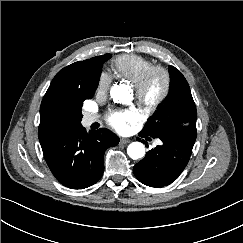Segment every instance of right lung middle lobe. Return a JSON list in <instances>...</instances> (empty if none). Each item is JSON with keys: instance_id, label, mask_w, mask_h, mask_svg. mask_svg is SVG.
Listing matches in <instances>:
<instances>
[{"instance_id": "dd1d6c3e", "label": "right lung middle lobe", "mask_w": 243, "mask_h": 243, "mask_svg": "<svg viewBox=\"0 0 243 243\" xmlns=\"http://www.w3.org/2000/svg\"><path fill=\"white\" fill-rule=\"evenodd\" d=\"M111 58L110 54H105L103 60L100 63V68H102V64L107 61L108 59ZM94 93L88 94V95H79L74 97L70 103H69V117L64 123L65 126H76L81 124L80 121L82 119V114H81V108L83 105V101L86 99H90L93 97Z\"/></svg>"}]
</instances>
